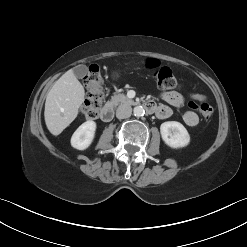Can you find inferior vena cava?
<instances>
[{"instance_id": "602c4592", "label": "inferior vena cava", "mask_w": 247, "mask_h": 247, "mask_svg": "<svg viewBox=\"0 0 247 247\" xmlns=\"http://www.w3.org/2000/svg\"><path fill=\"white\" fill-rule=\"evenodd\" d=\"M132 114V108L129 104L120 105L116 111V117L118 119H125L130 117Z\"/></svg>"}]
</instances>
